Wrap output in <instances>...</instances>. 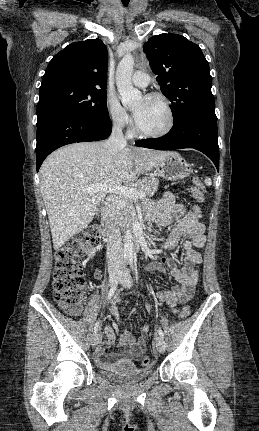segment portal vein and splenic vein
Returning a JSON list of instances; mask_svg holds the SVG:
<instances>
[{"mask_svg":"<svg viewBox=\"0 0 259 431\" xmlns=\"http://www.w3.org/2000/svg\"><path fill=\"white\" fill-rule=\"evenodd\" d=\"M100 191L119 194L125 197L132 198L134 200L145 197V193L143 191L137 190L136 188L121 186V185L108 187L102 184H92L83 188V192H86V193H96Z\"/></svg>","mask_w":259,"mask_h":431,"instance_id":"portal-vein-and-splenic-vein-1","label":"portal vein and splenic vein"}]
</instances>
